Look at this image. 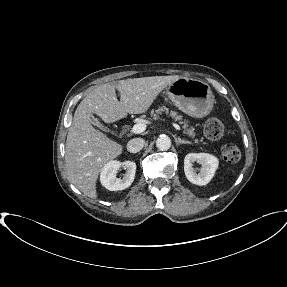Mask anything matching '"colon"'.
<instances>
[{"label":"colon","mask_w":287,"mask_h":287,"mask_svg":"<svg viewBox=\"0 0 287 287\" xmlns=\"http://www.w3.org/2000/svg\"><path fill=\"white\" fill-rule=\"evenodd\" d=\"M203 130L209 140H218L224 135L225 127L220 118L211 117L205 122ZM221 153L223 159L230 164H235L241 159V151L234 143L225 144Z\"/></svg>","instance_id":"5ec220e1"}]
</instances>
